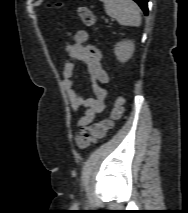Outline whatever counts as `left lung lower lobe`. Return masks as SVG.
Listing matches in <instances>:
<instances>
[{
	"label": "left lung lower lobe",
	"instance_id": "left-lung-lower-lobe-1",
	"mask_svg": "<svg viewBox=\"0 0 188 213\" xmlns=\"http://www.w3.org/2000/svg\"><path fill=\"white\" fill-rule=\"evenodd\" d=\"M134 1L139 4V6L144 11L145 15H147L148 14V7H147L148 0H134Z\"/></svg>",
	"mask_w": 188,
	"mask_h": 213
}]
</instances>
